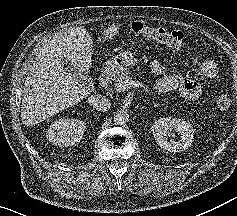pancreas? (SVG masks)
<instances>
[{
    "label": "pancreas",
    "instance_id": "cf45deb5",
    "mask_svg": "<svg viewBox=\"0 0 237 216\" xmlns=\"http://www.w3.org/2000/svg\"><path fill=\"white\" fill-rule=\"evenodd\" d=\"M119 78H125V76H123V75H120V76H119Z\"/></svg>",
    "mask_w": 237,
    "mask_h": 216
}]
</instances>
